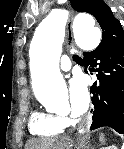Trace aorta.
<instances>
[{"label": "aorta", "instance_id": "aorta-1", "mask_svg": "<svg viewBox=\"0 0 124 149\" xmlns=\"http://www.w3.org/2000/svg\"><path fill=\"white\" fill-rule=\"evenodd\" d=\"M68 13L51 12L36 28L30 45L32 86L37 100L46 107L56 108L66 99L67 88L59 69L61 47ZM75 42L83 50H93L101 40V31L92 16L78 14L73 20ZM83 130H79L82 133Z\"/></svg>", "mask_w": 124, "mask_h": 149}]
</instances>
